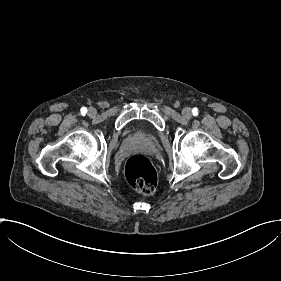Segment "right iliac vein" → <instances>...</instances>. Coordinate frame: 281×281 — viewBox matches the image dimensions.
Returning a JSON list of instances; mask_svg holds the SVG:
<instances>
[{"label":"right iliac vein","mask_w":281,"mask_h":281,"mask_svg":"<svg viewBox=\"0 0 281 281\" xmlns=\"http://www.w3.org/2000/svg\"><path fill=\"white\" fill-rule=\"evenodd\" d=\"M88 113H89V115L94 116V115H96L97 110H96V108L91 107V108H89Z\"/></svg>","instance_id":"right-iliac-vein-1"}]
</instances>
